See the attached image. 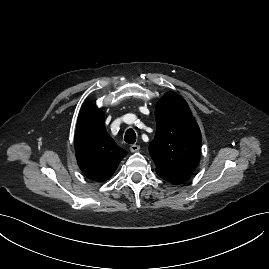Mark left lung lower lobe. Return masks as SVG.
Masks as SVG:
<instances>
[{
    "instance_id": "1",
    "label": "left lung lower lobe",
    "mask_w": 269,
    "mask_h": 269,
    "mask_svg": "<svg viewBox=\"0 0 269 269\" xmlns=\"http://www.w3.org/2000/svg\"><path fill=\"white\" fill-rule=\"evenodd\" d=\"M157 174L161 178L172 184H181L183 182H186L190 178V175H175L162 172H157Z\"/></svg>"
}]
</instances>
